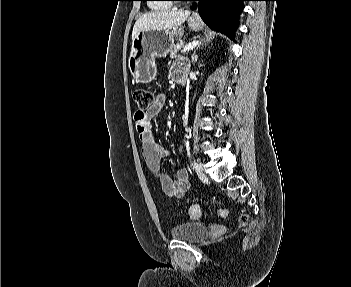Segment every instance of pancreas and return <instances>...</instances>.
Returning a JSON list of instances; mask_svg holds the SVG:
<instances>
[{"label":"pancreas","instance_id":"1","mask_svg":"<svg viewBox=\"0 0 351 287\" xmlns=\"http://www.w3.org/2000/svg\"><path fill=\"white\" fill-rule=\"evenodd\" d=\"M184 46V42H180V43H177V44H174L172 46V49L170 50V58H180L181 56L178 54L179 53V50L181 49V47Z\"/></svg>","mask_w":351,"mask_h":287}]
</instances>
